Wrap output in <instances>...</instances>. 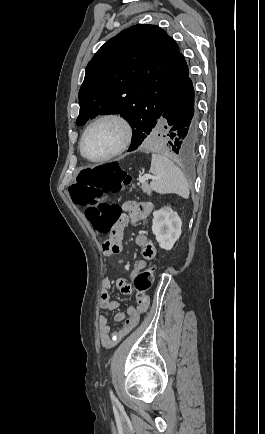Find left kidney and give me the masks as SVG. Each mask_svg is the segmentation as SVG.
<instances>
[{"mask_svg": "<svg viewBox=\"0 0 265 434\" xmlns=\"http://www.w3.org/2000/svg\"><path fill=\"white\" fill-rule=\"evenodd\" d=\"M153 216L152 232L156 236L160 248L172 250L175 242L181 236V218L169 206L153 212Z\"/></svg>", "mask_w": 265, "mask_h": 434, "instance_id": "1", "label": "left kidney"}]
</instances>
